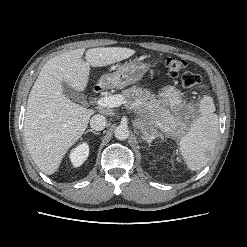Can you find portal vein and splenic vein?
<instances>
[{"instance_id": "portal-vein-and-splenic-vein-1", "label": "portal vein and splenic vein", "mask_w": 247, "mask_h": 247, "mask_svg": "<svg viewBox=\"0 0 247 247\" xmlns=\"http://www.w3.org/2000/svg\"><path fill=\"white\" fill-rule=\"evenodd\" d=\"M97 105L105 108L118 107L124 103V97L120 94L105 96L96 101Z\"/></svg>"}]
</instances>
